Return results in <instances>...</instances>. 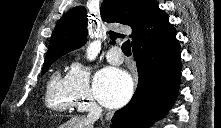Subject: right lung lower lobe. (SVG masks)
<instances>
[{
  "mask_svg": "<svg viewBox=\"0 0 221 128\" xmlns=\"http://www.w3.org/2000/svg\"><path fill=\"white\" fill-rule=\"evenodd\" d=\"M175 36L160 47L132 48L138 87L131 101L115 112L111 128H149L173 106L182 69L180 45Z\"/></svg>",
  "mask_w": 221,
  "mask_h": 128,
  "instance_id": "right-lung-lower-lobe-1",
  "label": "right lung lower lobe"
}]
</instances>
